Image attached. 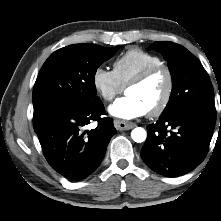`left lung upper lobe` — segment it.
<instances>
[{
    "label": "left lung upper lobe",
    "mask_w": 221,
    "mask_h": 221,
    "mask_svg": "<svg viewBox=\"0 0 221 221\" xmlns=\"http://www.w3.org/2000/svg\"><path fill=\"white\" fill-rule=\"evenodd\" d=\"M150 49L164 55L173 80L170 100L161 117L192 110L216 120L213 87L200 61L186 48L172 42H155Z\"/></svg>",
    "instance_id": "1"
}]
</instances>
